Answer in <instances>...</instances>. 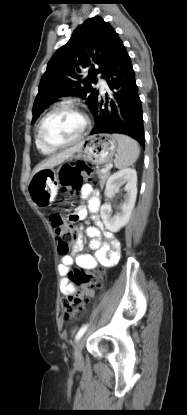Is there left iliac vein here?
Here are the masks:
<instances>
[{
    "instance_id": "left-iliac-vein-1",
    "label": "left iliac vein",
    "mask_w": 187,
    "mask_h": 415,
    "mask_svg": "<svg viewBox=\"0 0 187 415\" xmlns=\"http://www.w3.org/2000/svg\"><path fill=\"white\" fill-rule=\"evenodd\" d=\"M85 344V337H82L78 340L76 347H75V364L80 365L83 363V354L82 350Z\"/></svg>"
}]
</instances>
